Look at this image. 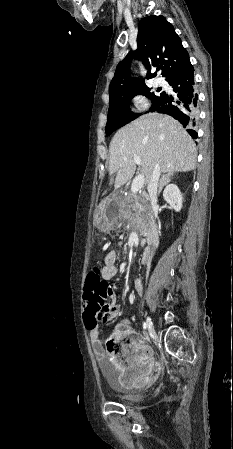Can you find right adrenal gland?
Returning a JSON list of instances; mask_svg holds the SVG:
<instances>
[{
    "label": "right adrenal gland",
    "instance_id": "obj_1",
    "mask_svg": "<svg viewBox=\"0 0 233 449\" xmlns=\"http://www.w3.org/2000/svg\"><path fill=\"white\" fill-rule=\"evenodd\" d=\"M173 175L174 172H168L167 174L162 176L158 185V195L161 193L163 187L171 181V177Z\"/></svg>",
    "mask_w": 233,
    "mask_h": 449
}]
</instances>
